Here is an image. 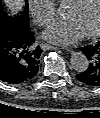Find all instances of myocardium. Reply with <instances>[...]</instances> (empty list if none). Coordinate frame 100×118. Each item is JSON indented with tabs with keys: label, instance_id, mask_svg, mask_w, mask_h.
Instances as JSON below:
<instances>
[{
	"label": "myocardium",
	"instance_id": "f54148a6",
	"mask_svg": "<svg viewBox=\"0 0 100 118\" xmlns=\"http://www.w3.org/2000/svg\"><path fill=\"white\" fill-rule=\"evenodd\" d=\"M82 1L83 0H71L67 4L68 5H72V6H78L79 4L82 3ZM99 33H100V8H99V16H98V21H97L96 27L92 31L84 33L83 37H85V38H93V37H96Z\"/></svg>",
	"mask_w": 100,
	"mask_h": 118
}]
</instances>
